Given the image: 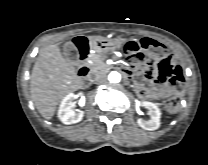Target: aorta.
Wrapping results in <instances>:
<instances>
[{
    "instance_id": "1",
    "label": "aorta",
    "mask_w": 208,
    "mask_h": 165,
    "mask_svg": "<svg viewBox=\"0 0 208 165\" xmlns=\"http://www.w3.org/2000/svg\"><path fill=\"white\" fill-rule=\"evenodd\" d=\"M108 80L110 81V83H119L121 80V75L117 71H112L108 75Z\"/></svg>"
}]
</instances>
